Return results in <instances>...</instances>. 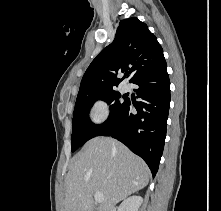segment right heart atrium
Masks as SVG:
<instances>
[{"label": "right heart atrium", "instance_id": "d8ad5b80", "mask_svg": "<svg viewBox=\"0 0 221 211\" xmlns=\"http://www.w3.org/2000/svg\"><path fill=\"white\" fill-rule=\"evenodd\" d=\"M108 115V104L103 99H96L89 108V119L95 124H101Z\"/></svg>", "mask_w": 221, "mask_h": 211}]
</instances>
